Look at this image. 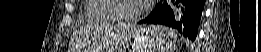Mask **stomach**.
<instances>
[{
	"instance_id": "1",
	"label": "stomach",
	"mask_w": 261,
	"mask_h": 52,
	"mask_svg": "<svg viewBox=\"0 0 261 52\" xmlns=\"http://www.w3.org/2000/svg\"><path fill=\"white\" fill-rule=\"evenodd\" d=\"M114 27H111L113 29ZM123 28V27H122ZM154 28H131L121 39L119 52H154L158 39Z\"/></svg>"
}]
</instances>
